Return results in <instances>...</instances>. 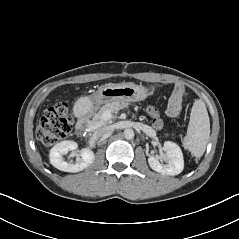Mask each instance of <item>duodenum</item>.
I'll return each instance as SVG.
<instances>
[{"instance_id":"obj_1","label":"duodenum","mask_w":239,"mask_h":239,"mask_svg":"<svg viewBox=\"0 0 239 239\" xmlns=\"http://www.w3.org/2000/svg\"><path fill=\"white\" fill-rule=\"evenodd\" d=\"M87 121H88L87 117L83 118V120L81 121V123L79 125V128L82 129V127H84L86 125Z\"/></svg>"}]
</instances>
